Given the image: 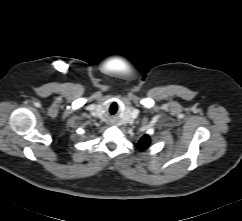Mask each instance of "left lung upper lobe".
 Masks as SVG:
<instances>
[{"label": "left lung upper lobe", "instance_id": "left-lung-upper-lobe-1", "mask_svg": "<svg viewBox=\"0 0 242 221\" xmlns=\"http://www.w3.org/2000/svg\"><path fill=\"white\" fill-rule=\"evenodd\" d=\"M149 144H150L149 136L145 135L139 141L138 146L141 148V150H145L149 146Z\"/></svg>", "mask_w": 242, "mask_h": 221}]
</instances>
